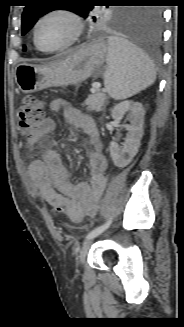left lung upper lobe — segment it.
I'll use <instances>...</instances> for the list:
<instances>
[{"mask_svg": "<svg viewBox=\"0 0 184 327\" xmlns=\"http://www.w3.org/2000/svg\"><path fill=\"white\" fill-rule=\"evenodd\" d=\"M57 0H31L22 14V35H25L36 21L44 14L57 9H67L85 19H90L96 26L104 25L129 27L137 22L141 9H109L100 13L88 0H74L70 5H61ZM107 8L109 6H106ZM24 51L26 47L24 46Z\"/></svg>", "mask_w": 184, "mask_h": 327, "instance_id": "1", "label": "left lung upper lobe"}]
</instances>
